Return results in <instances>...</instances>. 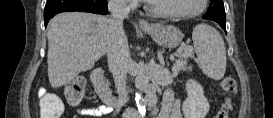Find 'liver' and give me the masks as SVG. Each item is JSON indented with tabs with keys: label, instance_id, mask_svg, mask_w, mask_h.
Segmentation results:
<instances>
[{
	"label": "liver",
	"instance_id": "1",
	"mask_svg": "<svg viewBox=\"0 0 273 118\" xmlns=\"http://www.w3.org/2000/svg\"><path fill=\"white\" fill-rule=\"evenodd\" d=\"M108 18L85 12H64L48 24V77L53 88L90 70L107 52Z\"/></svg>",
	"mask_w": 273,
	"mask_h": 118
}]
</instances>
